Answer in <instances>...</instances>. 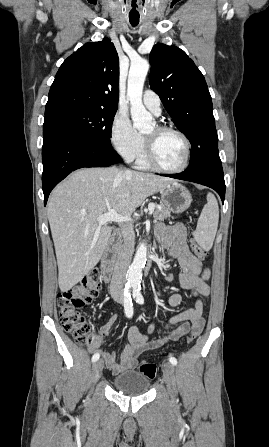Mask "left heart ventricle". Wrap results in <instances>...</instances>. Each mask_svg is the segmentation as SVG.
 <instances>
[{
    "mask_svg": "<svg viewBox=\"0 0 269 447\" xmlns=\"http://www.w3.org/2000/svg\"><path fill=\"white\" fill-rule=\"evenodd\" d=\"M144 137L153 144L156 157L162 165L176 168L183 163L185 143L178 134L162 132L155 125L144 134Z\"/></svg>",
    "mask_w": 269,
    "mask_h": 447,
    "instance_id": "obj_1",
    "label": "left heart ventricle"
}]
</instances>
